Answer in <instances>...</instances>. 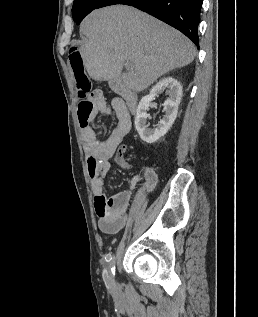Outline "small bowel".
<instances>
[{
	"instance_id": "c3829d8e",
	"label": "small bowel",
	"mask_w": 258,
	"mask_h": 317,
	"mask_svg": "<svg viewBox=\"0 0 258 317\" xmlns=\"http://www.w3.org/2000/svg\"><path fill=\"white\" fill-rule=\"evenodd\" d=\"M99 113L113 114L117 118L116 126L105 141L97 140L90 127V122ZM131 114V107L124 99L113 98L108 105L100 90L93 91L88 99L80 101L77 106L98 226L101 231L108 234L117 233L125 226L134 192L141 183L145 184L147 192H151L158 181L156 172L151 167H145L142 175L133 178L129 190L119 192L110 198L105 195L104 179L110 169V159L131 130Z\"/></svg>"
}]
</instances>
